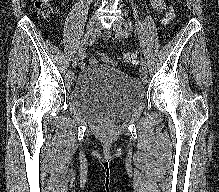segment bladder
Segmentation results:
<instances>
[{
	"label": "bladder",
	"instance_id": "31cf9c89",
	"mask_svg": "<svg viewBox=\"0 0 219 192\" xmlns=\"http://www.w3.org/2000/svg\"><path fill=\"white\" fill-rule=\"evenodd\" d=\"M145 99L143 85L121 70L103 63L87 66L68 92V102L95 123L121 122Z\"/></svg>",
	"mask_w": 219,
	"mask_h": 192
}]
</instances>
